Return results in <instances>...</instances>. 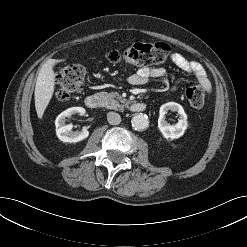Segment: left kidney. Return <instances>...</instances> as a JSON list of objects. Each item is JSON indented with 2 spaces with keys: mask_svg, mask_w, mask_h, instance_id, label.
Listing matches in <instances>:
<instances>
[{
  "mask_svg": "<svg viewBox=\"0 0 247 247\" xmlns=\"http://www.w3.org/2000/svg\"><path fill=\"white\" fill-rule=\"evenodd\" d=\"M169 110L178 112L179 119L176 124L170 125L165 120V114H167ZM187 126V114L180 104L175 102H168L160 107L158 128L164 138H170L171 140L180 138L181 136H183L185 130L187 129Z\"/></svg>",
  "mask_w": 247,
  "mask_h": 247,
  "instance_id": "5707ae66",
  "label": "left kidney"
}]
</instances>
